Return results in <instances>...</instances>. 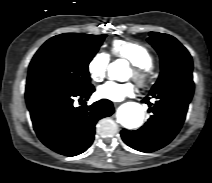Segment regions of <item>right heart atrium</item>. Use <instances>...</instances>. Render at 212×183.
<instances>
[{"instance_id":"d8ad5b80","label":"right heart atrium","mask_w":212,"mask_h":183,"mask_svg":"<svg viewBox=\"0 0 212 183\" xmlns=\"http://www.w3.org/2000/svg\"><path fill=\"white\" fill-rule=\"evenodd\" d=\"M110 58L106 53H96L88 62L87 71L94 82H101L107 73Z\"/></svg>"}]
</instances>
